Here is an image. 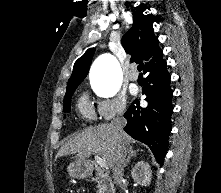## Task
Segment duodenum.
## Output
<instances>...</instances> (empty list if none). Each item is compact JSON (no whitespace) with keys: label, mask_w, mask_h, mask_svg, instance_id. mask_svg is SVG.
I'll return each mask as SVG.
<instances>
[{"label":"duodenum","mask_w":221,"mask_h":193,"mask_svg":"<svg viewBox=\"0 0 221 193\" xmlns=\"http://www.w3.org/2000/svg\"><path fill=\"white\" fill-rule=\"evenodd\" d=\"M81 167L90 179L100 183L103 193H115V187L111 177L97 164L89 162L83 164Z\"/></svg>","instance_id":"1"}]
</instances>
